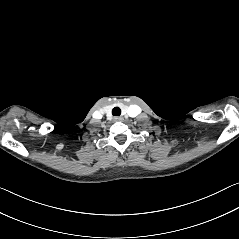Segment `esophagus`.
<instances>
[{"mask_svg":"<svg viewBox=\"0 0 239 239\" xmlns=\"http://www.w3.org/2000/svg\"><path fill=\"white\" fill-rule=\"evenodd\" d=\"M114 120H115V121H122V120H123V117H121V116H116V117H114Z\"/></svg>","mask_w":239,"mask_h":239,"instance_id":"1","label":"esophagus"}]
</instances>
